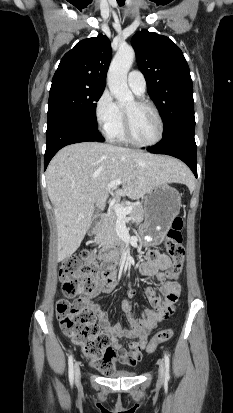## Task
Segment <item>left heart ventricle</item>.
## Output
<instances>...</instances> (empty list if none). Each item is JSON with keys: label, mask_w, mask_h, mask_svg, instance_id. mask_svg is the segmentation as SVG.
Returning <instances> with one entry per match:
<instances>
[{"label": "left heart ventricle", "mask_w": 233, "mask_h": 413, "mask_svg": "<svg viewBox=\"0 0 233 413\" xmlns=\"http://www.w3.org/2000/svg\"><path fill=\"white\" fill-rule=\"evenodd\" d=\"M125 111L130 115L132 132L136 140L143 143L154 141L159 132V123L154 112L147 107L131 102Z\"/></svg>", "instance_id": "obj_1"}]
</instances>
